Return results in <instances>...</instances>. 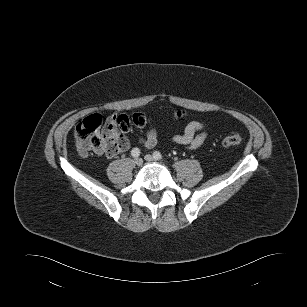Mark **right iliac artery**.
<instances>
[{
  "label": "right iliac artery",
  "instance_id": "82829eb1",
  "mask_svg": "<svg viewBox=\"0 0 307 307\" xmlns=\"http://www.w3.org/2000/svg\"><path fill=\"white\" fill-rule=\"evenodd\" d=\"M131 155L134 158H137L140 155V150L138 148H133L132 151H131Z\"/></svg>",
  "mask_w": 307,
  "mask_h": 307
}]
</instances>
